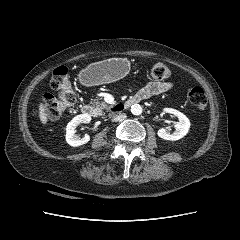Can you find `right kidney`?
<instances>
[{"instance_id": "ca27d5eb", "label": "right kidney", "mask_w": 240, "mask_h": 240, "mask_svg": "<svg viewBox=\"0 0 240 240\" xmlns=\"http://www.w3.org/2000/svg\"><path fill=\"white\" fill-rule=\"evenodd\" d=\"M91 121V116L89 114H80L75 116L66 127V142L73 147H77L83 144H86L90 140L89 135H85L84 137H79L75 134L76 127L80 123H89Z\"/></svg>"}]
</instances>
